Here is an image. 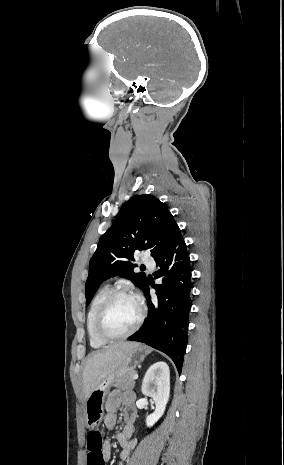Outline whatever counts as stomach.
I'll return each instance as SVG.
<instances>
[{
    "instance_id": "0dacf381",
    "label": "stomach",
    "mask_w": 284,
    "mask_h": 465,
    "mask_svg": "<svg viewBox=\"0 0 284 465\" xmlns=\"http://www.w3.org/2000/svg\"><path fill=\"white\" fill-rule=\"evenodd\" d=\"M150 351L151 349L142 347V345L134 347V349H131V351L127 353L121 367L113 371L111 375L103 377L101 383L93 389L92 393H90L89 397L84 401V415L87 429L93 431V429H97L101 421H103L105 399L111 387L116 383L119 375H127V373L134 371L139 363H143Z\"/></svg>"
}]
</instances>
